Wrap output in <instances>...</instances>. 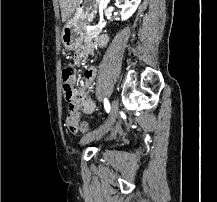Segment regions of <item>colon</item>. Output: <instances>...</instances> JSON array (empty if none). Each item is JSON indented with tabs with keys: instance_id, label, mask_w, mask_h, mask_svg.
<instances>
[{
	"instance_id": "1",
	"label": "colon",
	"mask_w": 217,
	"mask_h": 202,
	"mask_svg": "<svg viewBox=\"0 0 217 202\" xmlns=\"http://www.w3.org/2000/svg\"><path fill=\"white\" fill-rule=\"evenodd\" d=\"M78 79L79 78L76 76V73L71 69H62V88L64 92V98L68 105V108L71 111H76L77 109L81 108L80 102H88L87 96H78L82 95V90H77L76 87H74V82H78ZM74 120V115L65 118L66 126L70 131H75ZM80 125V132L83 134H89L91 132L89 129L86 130L87 124L83 120L80 121Z\"/></svg>"
}]
</instances>
